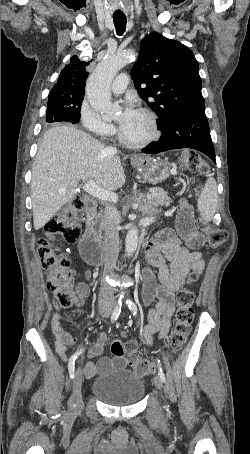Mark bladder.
I'll return each instance as SVG.
<instances>
[{
	"mask_svg": "<svg viewBox=\"0 0 250 454\" xmlns=\"http://www.w3.org/2000/svg\"><path fill=\"white\" fill-rule=\"evenodd\" d=\"M91 391L107 405H134L143 398L146 383L137 372L121 367L95 379Z\"/></svg>",
	"mask_w": 250,
	"mask_h": 454,
	"instance_id": "1",
	"label": "bladder"
}]
</instances>
